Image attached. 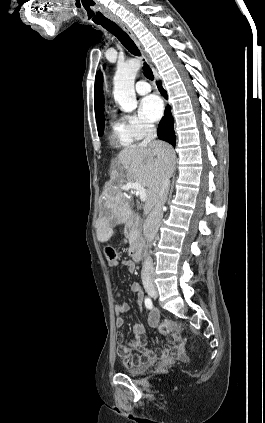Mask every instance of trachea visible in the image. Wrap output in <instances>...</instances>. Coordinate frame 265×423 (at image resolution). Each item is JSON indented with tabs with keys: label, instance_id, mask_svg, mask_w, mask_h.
I'll return each mask as SVG.
<instances>
[{
	"label": "trachea",
	"instance_id": "obj_1",
	"mask_svg": "<svg viewBox=\"0 0 265 423\" xmlns=\"http://www.w3.org/2000/svg\"><path fill=\"white\" fill-rule=\"evenodd\" d=\"M105 29H107L110 33H112L118 40L123 44V46L133 55L140 56V51L133 42V40L129 37V35L123 31L115 22L111 20H107L104 22L99 23ZM144 75L146 78L153 80V73L150 67L144 62L143 65Z\"/></svg>",
	"mask_w": 265,
	"mask_h": 423
}]
</instances>
